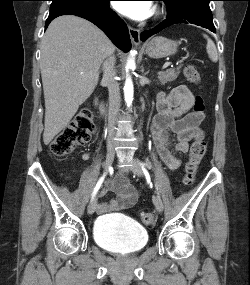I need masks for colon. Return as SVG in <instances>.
Returning <instances> with one entry per match:
<instances>
[{
    "mask_svg": "<svg viewBox=\"0 0 250 285\" xmlns=\"http://www.w3.org/2000/svg\"><path fill=\"white\" fill-rule=\"evenodd\" d=\"M185 78L194 84L201 80L199 70L193 65L184 68ZM204 103L201 97L195 99L194 112L202 113ZM93 115L89 108L81 109L72 121L53 139L50 151L54 156H64L72 152L77 146L88 142L94 132ZM206 153V143L203 137L194 140L189 152V161L186 164L184 183L191 185L194 182L198 165ZM141 220L145 224H152L155 215L151 212L142 213Z\"/></svg>",
    "mask_w": 250,
    "mask_h": 285,
    "instance_id": "5ec220e1",
    "label": "colon"
}]
</instances>
